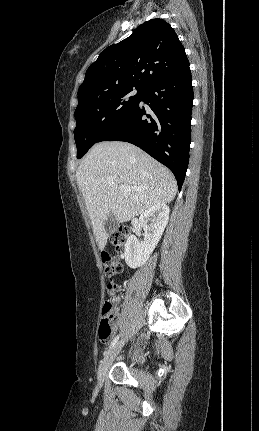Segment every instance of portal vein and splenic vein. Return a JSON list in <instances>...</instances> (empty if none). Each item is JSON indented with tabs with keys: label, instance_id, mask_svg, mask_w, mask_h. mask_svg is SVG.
<instances>
[{
	"label": "portal vein and splenic vein",
	"instance_id": "18ae733b",
	"mask_svg": "<svg viewBox=\"0 0 259 431\" xmlns=\"http://www.w3.org/2000/svg\"><path fill=\"white\" fill-rule=\"evenodd\" d=\"M119 189H120V192H122V193H127L128 191H130V190H131V188H130V187H127V186H125V185H121V186L119 187Z\"/></svg>",
	"mask_w": 259,
	"mask_h": 431
}]
</instances>
